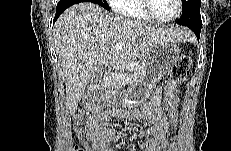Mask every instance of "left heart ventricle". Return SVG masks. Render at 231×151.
Returning a JSON list of instances; mask_svg holds the SVG:
<instances>
[{"mask_svg":"<svg viewBox=\"0 0 231 151\" xmlns=\"http://www.w3.org/2000/svg\"><path fill=\"white\" fill-rule=\"evenodd\" d=\"M151 10L157 18L169 19L176 13V0H151Z\"/></svg>","mask_w":231,"mask_h":151,"instance_id":"left-heart-ventricle-1","label":"left heart ventricle"}]
</instances>
